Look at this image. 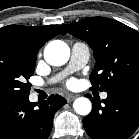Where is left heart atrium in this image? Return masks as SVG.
Wrapping results in <instances>:
<instances>
[{"label":"left heart atrium","mask_w":139,"mask_h":139,"mask_svg":"<svg viewBox=\"0 0 139 139\" xmlns=\"http://www.w3.org/2000/svg\"><path fill=\"white\" fill-rule=\"evenodd\" d=\"M69 85H70V86H73V85H74V82H73V81H71V82L69 83Z\"/></svg>","instance_id":"left-heart-atrium-1"}]
</instances>
